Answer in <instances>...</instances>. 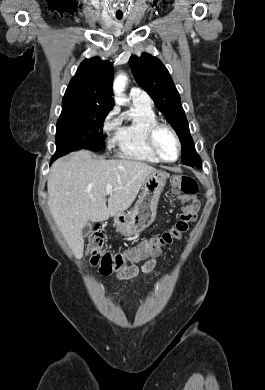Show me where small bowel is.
I'll use <instances>...</instances> for the list:
<instances>
[{
    "instance_id": "obj_1",
    "label": "small bowel",
    "mask_w": 265,
    "mask_h": 390,
    "mask_svg": "<svg viewBox=\"0 0 265 390\" xmlns=\"http://www.w3.org/2000/svg\"><path fill=\"white\" fill-rule=\"evenodd\" d=\"M156 257V256H155ZM156 266V259L152 258L146 261L141 266L131 265L127 267L126 269L120 271L117 273V278L120 280H130L135 278L141 273H149L151 272Z\"/></svg>"
}]
</instances>
